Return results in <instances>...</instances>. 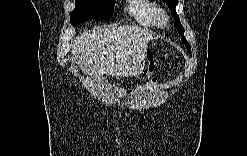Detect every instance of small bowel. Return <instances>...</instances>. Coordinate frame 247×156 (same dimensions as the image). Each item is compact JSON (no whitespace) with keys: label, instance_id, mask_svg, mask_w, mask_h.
<instances>
[{"label":"small bowel","instance_id":"c3829d8e","mask_svg":"<svg viewBox=\"0 0 247 156\" xmlns=\"http://www.w3.org/2000/svg\"><path fill=\"white\" fill-rule=\"evenodd\" d=\"M153 71H154V65L150 61L149 62V65L147 66V69L145 71V74L149 78L150 83H153L154 82V79L152 78Z\"/></svg>","mask_w":247,"mask_h":156}]
</instances>
